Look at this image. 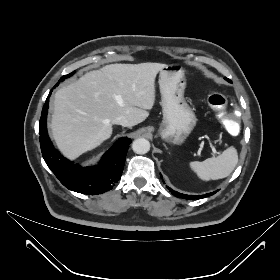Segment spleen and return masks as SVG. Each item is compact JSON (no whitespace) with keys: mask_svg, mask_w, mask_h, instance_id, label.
<instances>
[{"mask_svg":"<svg viewBox=\"0 0 280 280\" xmlns=\"http://www.w3.org/2000/svg\"><path fill=\"white\" fill-rule=\"evenodd\" d=\"M237 162V150L231 146L217 157L208 158L202 162H190V167L200 179L209 181L227 177L234 170Z\"/></svg>","mask_w":280,"mask_h":280,"instance_id":"1","label":"spleen"}]
</instances>
